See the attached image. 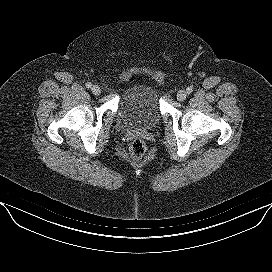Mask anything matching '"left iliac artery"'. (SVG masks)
I'll return each instance as SVG.
<instances>
[{"instance_id": "left-iliac-artery-1", "label": "left iliac artery", "mask_w": 272, "mask_h": 272, "mask_svg": "<svg viewBox=\"0 0 272 272\" xmlns=\"http://www.w3.org/2000/svg\"><path fill=\"white\" fill-rule=\"evenodd\" d=\"M186 91H187L188 94H190V93H192L193 88L190 86V87H188V88L186 89Z\"/></svg>"}]
</instances>
